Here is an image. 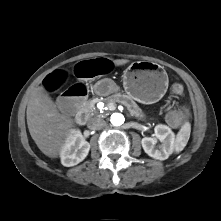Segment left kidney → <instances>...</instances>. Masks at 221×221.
Listing matches in <instances>:
<instances>
[{
    "mask_svg": "<svg viewBox=\"0 0 221 221\" xmlns=\"http://www.w3.org/2000/svg\"><path fill=\"white\" fill-rule=\"evenodd\" d=\"M155 137H145L142 139V147L150 157L157 160L167 159L174 151L175 148V135L171 129L166 126L159 124L155 127ZM157 140L162 142L159 149L155 148Z\"/></svg>",
    "mask_w": 221,
    "mask_h": 221,
    "instance_id": "obj_1",
    "label": "left kidney"
}]
</instances>
